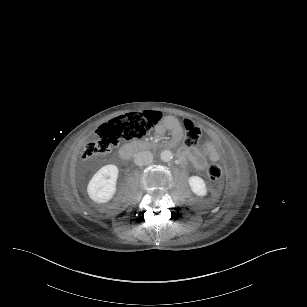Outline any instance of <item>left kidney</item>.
I'll return each mask as SVG.
<instances>
[{
  "mask_svg": "<svg viewBox=\"0 0 307 307\" xmlns=\"http://www.w3.org/2000/svg\"><path fill=\"white\" fill-rule=\"evenodd\" d=\"M188 184L190 186L191 191L200 197H204L207 195V187L203 178L199 176H190L188 178Z\"/></svg>",
  "mask_w": 307,
  "mask_h": 307,
  "instance_id": "5707ae66",
  "label": "left kidney"
}]
</instances>
